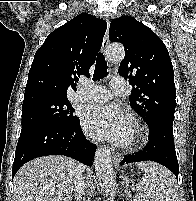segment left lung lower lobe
Wrapping results in <instances>:
<instances>
[{"label":"left lung lower lobe","mask_w":196,"mask_h":201,"mask_svg":"<svg viewBox=\"0 0 196 201\" xmlns=\"http://www.w3.org/2000/svg\"><path fill=\"white\" fill-rule=\"evenodd\" d=\"M151 160L162 164L178 178L172 124H155L149 127V142L139 153L124 157L121 164Z\"/></svg>","instance_id":"1"}]
</instances>
